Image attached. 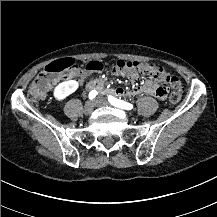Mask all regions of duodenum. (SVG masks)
I'll return each mask as SVG.
<instances>
[{
  "instance_id": "obj_1",
  "label": "duodenum",
  "mask_w": 217,
  "mask_h": 217,
  "mask_svg": "<svg viewBox=\"0 0 217 217\" xmlns=\"http://www.w3.org/2000/svg\"><path fill=\"white\" fill-rule=\"evenodd\" d=\"M86 86L88 89L97 90L104 94H115L117 92L116 88H108L100 79H91L87 82Z\"/></svg>"
}]
</instances>
